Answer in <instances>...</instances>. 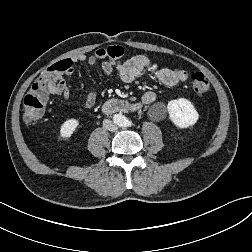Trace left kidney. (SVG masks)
<instances>
[{"label": "left kidney", "mask_w": 252, "mask_h": 252, "mask_svg": "<svg viewBox=\"0 0 252 252\" xmlns=\"http://www.w3.org/2000/svg\"><path fill=\"white\" fill-rule=\"evenodd\" d=\"M167 112L170 120L179 128L194 125L199 118V114L192 103L184 98L169 101Z\"/></svg>", "instance_id": "1"}]
</instances>
